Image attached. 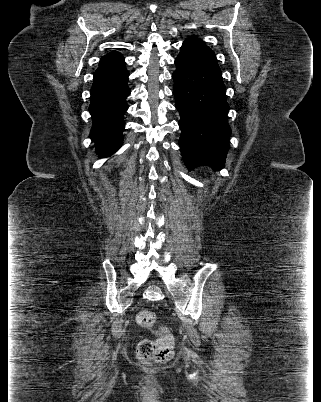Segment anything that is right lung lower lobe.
Returning a JSON list of instances; mask_svg holds the SVG:
<instances>
[{
	"mask_svg": "<svg viewBox=\"0 0 321 402\" xmlns=\"http://www.w3.org/2000/svg\"><path fill=\"white\" fill-rule=\"evenodd\" d=\"M129 73L124 64L99 65L94 73L89 111L92 117L90 138L101 157L115 153L123 141V114L128 109L126 98Z\"/></svg>",
	"mask_w": 321,
	"mask_h": 402,
	"instance_id": "right-lung-lower-lobe-1",
	"label": "right lung lower lobe"
}]
</instances>
